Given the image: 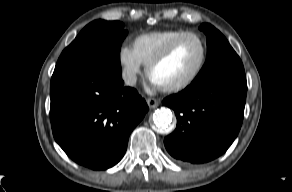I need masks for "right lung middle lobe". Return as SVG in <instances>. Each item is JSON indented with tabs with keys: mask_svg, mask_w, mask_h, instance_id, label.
<instances>
[{
	"mask_svg": "<svg viewBox=\"0 0 292 192\" xmlns=\"http://www.w3.org/2000/svg\"><path fill=\"white\" fill-rule=\"evenodd\" d=\"M119 21L95 20L64 49L57 63L78 62L101 65L121 74L120 47L127 31Z\"/></svg>",
	"mask_w": 292,
	"mask_h": 192,
	"instance_id": "right-lung-middle-lobe-1",
	"label": "right lung middle lobe"
}]
</instances>
